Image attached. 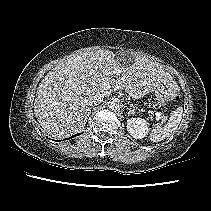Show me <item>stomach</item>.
I'll return each instance as SVG.
<instances>
[{"instance_id": "1", "label": "stomach", "mask_w": 211, "mask_h": 211, "mask_svg": "<svg viewBox=\"0 0 211 211\" xmlns=\"http://www.w3.org/2000/svg\"><path fill=\"white\" fill-rule=\"evenodd\" d=\"M119 54H122V56L118 55L117 60L124 65H129V63L132 61V58L128 55H125L124 53ZM152 90H154L155 92V97L158 104L162 105L176 96L178 92V86L174 81H171L164 84H160ZM147 93L148 91L144 87H138L129 91V95L135 99H140L144 97Z\"/></svg>"}]
</instances>
